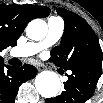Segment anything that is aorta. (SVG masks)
I'll return each mask as SVG.
<instances>
[{
	"instance_id": "aorta-1",
	"label": "aorta",
	"mask_w": 103,
	"mask_h": 103,
	"mask_svg": "<svg viewBox=\"0 0 103 103\" xmlns=\"http://www.w3.org/2000/svg\"><path fill=\"white\" fill-rule=\"evenodd\" d=\"M48 32L47 24L42 19H34L26 28L27 36L32 40H42ZM35 87L44 98L55 97L61 87L59 76L55 72L43 71L36 76Z\"/></svg>"
}]
</instances>
